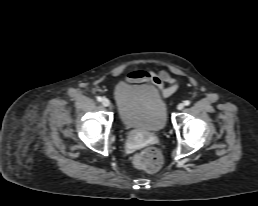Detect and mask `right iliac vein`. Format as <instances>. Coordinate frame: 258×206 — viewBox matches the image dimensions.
Segmentation results:
<instances>
[{
    "label": "right iliac vein",
    "instance_id": "63e3f726",
    "mask_svg": "<svg viewBox=\"0 0 258 206\" xmlns=\"http://www.w3.org/2000/svg\"><path fill=\"white\" fill-rule=\"evenodd\" d=\"M102 104H103V106L108 107V106L110 105L109 99L103 98V99H102Z\"/></svg>",
    "mask_w": 258,
    "mask_h": 206
}]
</instances>
